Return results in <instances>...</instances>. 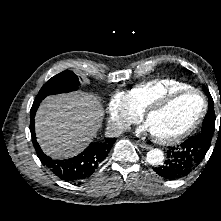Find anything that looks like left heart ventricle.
Here are the masks:
<instances>
[{
	"label": "left heart ventricle",
	"instance_id": "1",
	"mask_svg": "<svg viewBox=\"0 0 221 221\" xmlns=\"http://www.w3.org/2000/svg\"><path fill=\"white\" fill-rule=\"evenodd\" d=\"M202 107V100L197 94L179 97L163 110L148 117L146 124L151 133L171 136L186 128L197 117Z\"/></svg>",
	"mask_w": 221,
	"mask_h": 221
}]
</instances>
